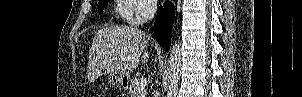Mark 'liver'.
Instances as JSON below:
<instances>
[{
  "label": "liver",
  "mask_w": 302,
  "mask_h": 97,
  "mask_svg": "<svg viewBox=\"0 0 302 97\" xmlns=\"http://www.w3.org/2000/svg\"><path fill=\"white\" fill-rule=\"evenodd\" d=\"M150 36L134 27H106L95 35L89 52V68L95 74L126 72L149 59L145 50Z\"/></svg>",
  "instance_id": "obj_1"
}]
</instances>
